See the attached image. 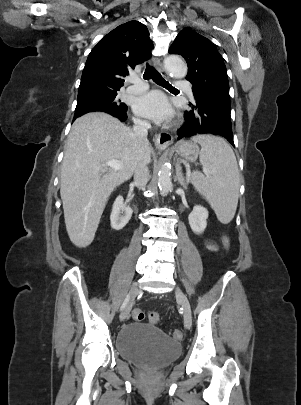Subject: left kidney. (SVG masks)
<instances>
[{
	"mask_svg": "<svg viewBox=\"0 0 301 405\" xmlns=\"http://www.w3.org/2000/svg\"><path fill=\"white\" fill-rule=\"evenodd\" d=\"M208 210L203 206H195L189 214L188 220L195 234H202L207 226Z\"/></svg>",
	"mask_w": 301,
	"mask_h": 405,
	"instance_id": "1",
	"label": "left kidney"
}]
</instances>
